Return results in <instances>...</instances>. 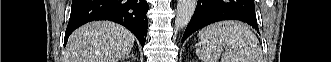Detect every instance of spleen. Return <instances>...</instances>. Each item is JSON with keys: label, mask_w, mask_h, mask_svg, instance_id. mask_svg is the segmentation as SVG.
<instances>
[{"label": "spleen", "mask_w": 331, "mask_h": 62, "mask_svg": "<svg viewBox=\"0 0 331 62\" xmlns=\"http://www.w3.org/2000/svg\"><path fill=\"white\" fill-rule=\"evenodd\" d=\"M196 54L202 62H261L256 36L237 21H221L203 28ZM225 52L222 53V50Z\"/></svg>", "instance_id": "1"}]
</instances>
